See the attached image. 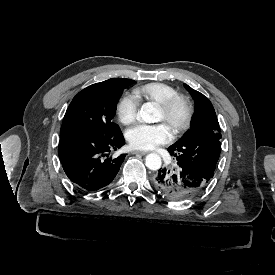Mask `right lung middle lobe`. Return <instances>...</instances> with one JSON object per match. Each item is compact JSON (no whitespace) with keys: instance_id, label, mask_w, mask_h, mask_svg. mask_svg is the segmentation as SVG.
Masks as SVG:
<instances>
[{"instance_id":"dd1d6c3e","label":"right lung middle lobe","mask_w":275,"mask_h":275,"mask_svg":"<svg viewBox=\"0 0 275 275\" xmlns=\"http://www.w3.org/2000/svg\"><path fill=\"white\" fill-rule=\"evenodd\" d=\"M132 83H96L80 91L65 113L61 135L79 132L109 139L119 134L112 118L122 90Z\"/></svg>"}]
</instances>
